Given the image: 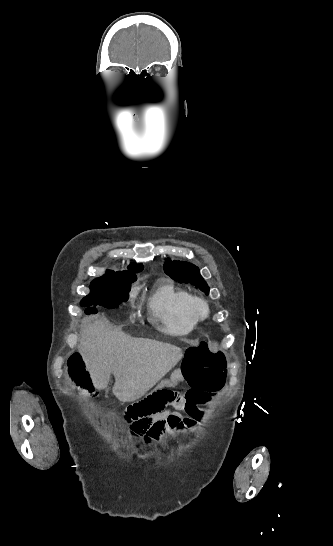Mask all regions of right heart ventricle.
<instances>
[{"label": "right heart ventricle", "instance_id": "right-heart-ventricle-1", "mask_svg": "<svg viewBox=\"0 0 333 546\" xmlns=\"http://www.w3.org/2000/svg\"><path fill=\"white\" fill-rule=\"evenodd\" d=\"M192 295L169 281L159 283L148 297L151 319L167 334L184 336L196 327L189 313Z\"/></svg>", "mask_w": 333, "mask_h": 546}]
</instances>
